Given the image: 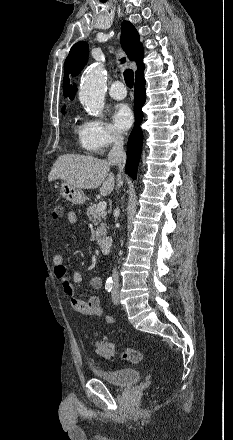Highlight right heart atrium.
Here are the masks:
<instances>
[{
	"label": "right heart atrium",
	"instance_id": "obj_1",
	"mask_svg": "<svg viewBox=\"0 0 233 440\" xmlns=\"http://www.w3.org/2000/svg\"><path fill=\"white\" fill-rule=\"evenodd\" d=\"M122 139L121 133L101 118H87L83 123L84 147L93 154H102Z\"/></svg>",
	"mask_w": 233,
	"mask_h": 440
}]
</instances>
